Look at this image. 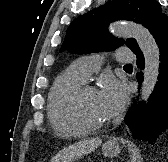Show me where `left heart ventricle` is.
<instances>
[{"instance_id": "1", "label": "left heart ventricle", "mask_w": 168, "mask_h": 162, "mask_svg": "<svg viewBox=\"0 0 168 162\" xmlns=\"http://www.w3.org/2000/svg\"><path fill=\"white\" fill-rule=\"evenodd\" d=\"M82 109L85 117L93 123H103L108 120L101 106L98 92L91 91L84 96Z\"/></svg>"}]
</instances>
